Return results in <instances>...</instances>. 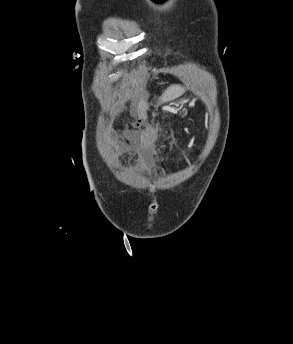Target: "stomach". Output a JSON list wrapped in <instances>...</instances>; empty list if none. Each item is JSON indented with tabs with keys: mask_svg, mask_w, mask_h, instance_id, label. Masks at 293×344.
<instances>
[{
	"mask_svg": "<svg viewBox=\"0 0 293 344\" xmlns=\"http://www.w3.org/2000/svg\"><path fill=\"white\" fill-rule=\"evenodd\" d=\"M186 102V100L182 99L179 101V104H184Z\"/></svg>",
	"mask_w": 293,
	"mask_h": 344,
	"instance_id": "stomach-1",
	"label": "stomach"
}]
</instances>
